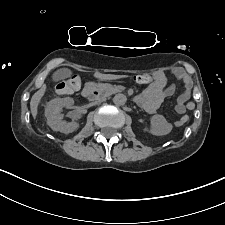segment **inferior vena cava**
<instances>
[{
	"mask_svg": "<svg viewBox=\"0 0 225 225\" xmlns=\"http://www.w3.org/2000/svg\"><path fill=\"white\" fill-rule=\"evenodd\" d=\"M103 100H104L103 97H101V98H96V99L92 102V104H93V105L98 104V103L102 102Z\"/></svg>",
	"mask_w": 225,
	"mask_h": 225,
	"instance_id": "inferior-vena-cava-1",
	"label": "inferior vena cava"
}]
</instances>
